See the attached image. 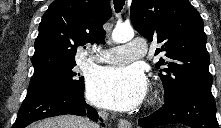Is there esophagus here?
Returning <instances> with one entry per match:
<instances>
[{"instance_id":"34e87169","label":"esophagus","mask_w":221,"mask_h":128,"mask_svg":"<svg viewBox=\"0 0 221 128\" xmlns=\"http://www.w3.org/2000/svg\"><path fill=\"white\" fill-rule=\"evenodd\" d=\"M120 128H131V123L127 120H120L118 123Z\"/></svg>"}]
</instances>
